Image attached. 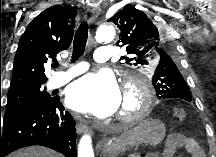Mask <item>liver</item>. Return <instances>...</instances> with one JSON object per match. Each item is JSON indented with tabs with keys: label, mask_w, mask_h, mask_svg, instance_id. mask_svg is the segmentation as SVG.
<instances>
[{
	"label": "liver",
	"mask_w": 216,
	"mask_h": 157,
	"mask_svg": "<svg viewBox=\"0 0 216 157\" xmlns=\"http://www.w3.org/2000/svg\"><path fill=\"white\" fill-rule=\"evenodd\" d=\"M9 157H60V154L41 146H30L11 153Z\"/></svg>",
	"instance_id": "1"
}]
</instances>
